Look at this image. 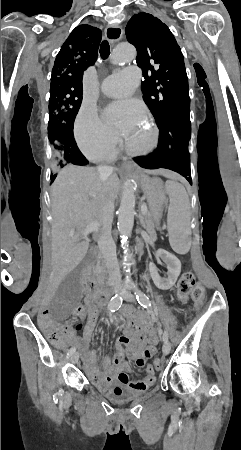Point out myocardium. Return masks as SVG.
<instances>
[{"label":"myocardium","instance_id":"obj_1","mask_svg":"<svg viewBox=\"0 0 241 450\" xmlns=\"http://www.w3.org/2000/svg\"><path fill=\"white\" fill-rule=\"evenodd\" d=\"M149 127H154V122H149ZM149 134L151 135V137L149 138V140L145 141V144L147 145V148L145 150L146 152L135 153L136 157H149L150 153L153 152V149H156V144L153 143L157 141L156 137L158 136V133L153 129L149 131Z\"/></svg>","mask_w":241,"mask_h":450}]
</instances>
